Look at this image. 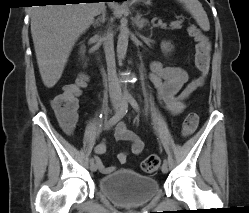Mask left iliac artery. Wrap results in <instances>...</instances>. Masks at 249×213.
I'll return each mask as SVG.
<instances>
[{
    "instance_id": "obj_1",
    "label": "left iliac artery",
    "mask_w": 249,
    "mask_h": 213,
    "mask_svg": "<svg viewBox=\"0 0 249 213\" xmlns=\"http://www.w3.org/2000/svg\"><path fill=\"white\" fill-rule=\"evenodd\" d=\"M129 102H130L131 106L138 112L139 111V105H138L137 101L134 98L131 97L129 99ZM164 163H167L166 159L164 160Z\"/></svg>"
}]
</instances>
